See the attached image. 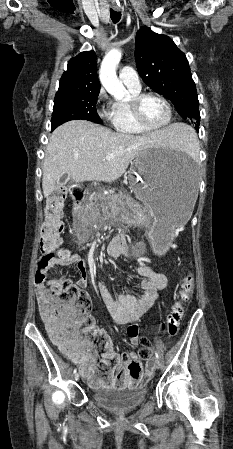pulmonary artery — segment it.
Listing matches in <instances>:
<instances>
[{"label": "pulmonary artery", "instance_id": "1", "mask_svg": "<svg viewBox=\"0 0 233 449\" xmlns=\"http://www.w3.org/2000/svg\"><path fill=\"white\" fill-rule=\"evenodd\" d=\"M119 78L123 84L133 88H141L137 72L130 66H125L120 70Z\"/></svg>", "mask_w": 233, "mask_h": 449}]
</instances>
